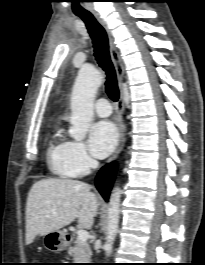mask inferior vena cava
Returning <instances> with one entry per match:
<instances>
[{
    "instance_id": "1",
    "label": "inferior vena cava",
    "mask_w": 205,
    "mask_h": 265,
    "mask_svg": "<svg viewBox=\"0 0 205 265\" xmlns=\"http://www.w3.org/2000/svg\"><path fill=\"white\" fill-rule=\"evenodd\" d=\"M91 166H92V167H96V166H98V162H97L96 160H92V161H91Z\"/></svg>"
}]
</instances>
